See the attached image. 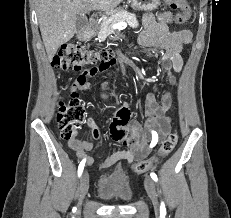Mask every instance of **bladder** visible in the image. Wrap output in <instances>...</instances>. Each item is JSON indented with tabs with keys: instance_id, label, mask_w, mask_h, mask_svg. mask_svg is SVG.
<instances>
[{
	"instance_id": "bladder-1",
	"label": "bladder",
	"mask_w": 231,
	"mask_h": 218,
	"mask_svg": "<svg viewBox=\"0 0 231 218\" xmlns=\"http://www.w3.org/2000/svg\"><path fill=\"white\" fill-rule=\"evenodd\" d=\"M96 192L104 200L120 202L129 201L133 195L130 178L125 174L101 176Z\"/></svg>"
}]
</instances>
